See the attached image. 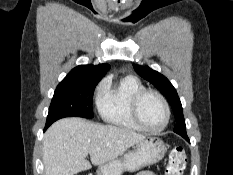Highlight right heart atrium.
Returning a JSON list of instances; mask_svg holds the SVG:
<instances>
[{"label":"right heart atrium","instance_id":"obj_1","mask_svg":"<svg viewBox=\"0 0 233 175\" xmlns=\"http://www.w3.org/2000/svg\"><path fill=\"white\" fill-rule=\"evenodd\" d=\"M104 83H105V82H103V83L100 85V88L103 86Z\"/></svg>","mask_w":233,"mask_h":175}]
</instances>
